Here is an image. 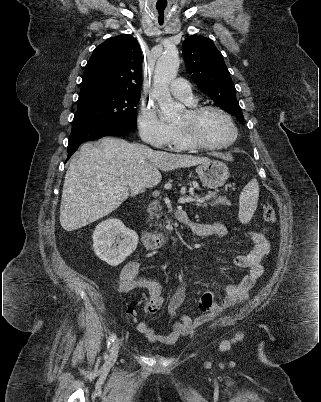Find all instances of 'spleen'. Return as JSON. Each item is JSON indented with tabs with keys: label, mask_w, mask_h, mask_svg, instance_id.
I'll use <instances>...</instances> for the list:
<instances>
[{
	"label": "spleen",
	"mask_w": 321,
	"mask_h": 402,
	"mask_svg": "<svg viewBox=\"0 0 321 402\" xmlns=\"http://www.w3.org/2000/svg\"><path fill=\"white\" fill-rule=\"evenodd\" d=\"M259 199V184L257 179L253 178L243 188L239 197V221L242 224L248 223L256 208Z\"/></svg>",
	"instance_id": "obj_1"
}]
</instances>
